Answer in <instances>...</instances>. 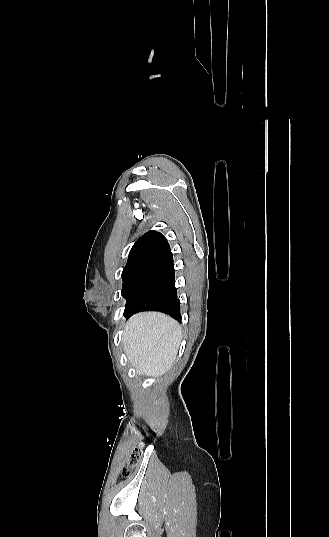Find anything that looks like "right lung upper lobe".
<instances>
[{
	"label": "right lung upper lobe",
	"mask_w": 329,
	"mask_h": 537,
	"mask_svg": "<svg viewBox=\"0 0 329 537\" xmlns=\"http://www.w3.org/2000/svg\"><path fill=\"white\" fill-rule=\"evenodd\" d=\"M169 252H171V249L167 239L159 232L148 231L133 245L127 265L136 263L150 264Z\"/></svg>",
	"instance_id": "obj_1"
}]
</instances>
